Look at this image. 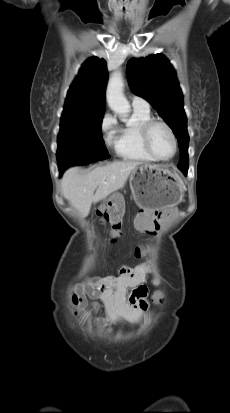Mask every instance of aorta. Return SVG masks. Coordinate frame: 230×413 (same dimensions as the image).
<instances>
[{
  "instance_id": "obj_1",
  "label": "aorta",
  "mask_w": 230,
  "mask_h": 413,
  "mask_svg": "<svg viewBox=\"0 0 230 413\" xmlns=\"http://www.w3.org/2000/svg\"><path fill=\"white\" fill-rule=\"evenodd\" d=\"M123 87L121 73L119 71L113 73L107 85L106 99L110 109L119 115L123 122H128L131 107L123 93Z\"/></svg>"
}]
</instances>
